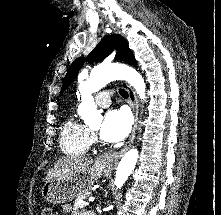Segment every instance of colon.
Segmentation results:
<instances>
[{
	"mask_svg": "<svg viewBox=\"0 0 221 215\" xmlns=\"http://www.w3.org/2000/svg\"><path fill=\"white\" fill-rule=\"evenodd\" d=\"M58 211L57 208L55 207H45L42 212L41 215H57Z\"/></svg>",
	"mask_w": 221,
	"mask_h": 215,
	"instance_id": "obj_1",
	"label": "colon"
}]
</instances>
